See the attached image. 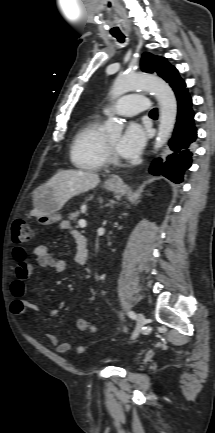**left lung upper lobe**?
<instances>
[{"mask_svg": "<svg viewBox=\"0 0 215 433\" xmlns=\"http://www.w3.org/2000/svg\"><path fill=\"white\" fill-rule=\"evenodd\" d=\"M141 68L144 72H156L166 82L170 83L173 79L179 78L177 69L170 65L165 58L144 53L141 60Z\"/></svg>", "mask_w": 215, "mask_h": 433, "instance_id": "1", "label": "left lung upper lobe"}]
</instances>
